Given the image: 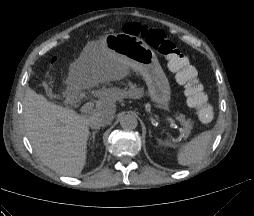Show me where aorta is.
Masks as SVG:
<instances>
[{"label": "aorta", "mask_w": 254, "mask_h": 216, "mask_svg": "<svg viewBox=\"0 0 254 216\" xmlns=\"http://www.w3.org/2000/svg\"><path fill=\"white\" fill-rule=\"evenodd\" d=\"M137 125V118L133 114H124L120 117V126L125 130H133Z\"/></svg>", "instance_id": "762f6f07"}]
</instances>
